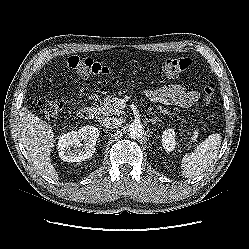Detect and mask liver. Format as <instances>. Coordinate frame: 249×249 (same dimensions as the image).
Here are the masks:
<instances>
[{
    "mask_svg": "<svg viewBox=\"0 0 249 249\" xmlns=\"http://www.w3.org/2000/svg\"><path fill=\"white\" fill-rule=\"evenodd\" d=\"M18 128L21 140L37 169L52 179H58L57 171L50 160L51 149L55 143L51 126L23 107Z\"/></svg>",
    "mask_w": 249,
    "mask_h": 249,
    "instance_id": "1",
    "label": "liver"
}]
</instances>
